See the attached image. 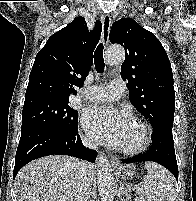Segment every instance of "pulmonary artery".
Returning <instances> with one entry per match:
<instances>
[{
    "instance_id": "e3ab8cb5",
    "label": "pulmonary artery",
    "mask_w": 196,
    "mask_h": 201,
    "mask_svg": "<svg viewBox=\"0 0 196 201\" xmlns=\"http://www.w3.org/2000/svg\"><path fill=\"white\" fill-rule=\"evenodd\" d=\"M124 91V82L120 79H114L108 85L93 86L85 90L83 96L94 102H111L119 99Z\"/></svg>"
}]
</instances>
